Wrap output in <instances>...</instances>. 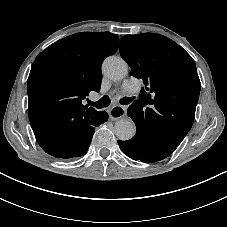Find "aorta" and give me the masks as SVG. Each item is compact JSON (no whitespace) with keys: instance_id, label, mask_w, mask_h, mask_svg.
<instances>
[{"instance_id":"1","label":"aorta","mask_w":227,"mask_h":227,"mask_svg":"<svg viewBox=\"0 0 227 227\" xmlns=\"http://www.w3.org/2000/svg\"><path fill=\"white\" fill-rule=\"evenodd\" d=\"M103 74L111 80H122L128 74V65L120 57L110 56L103 62ZM114 132L123 141L133 138L136 126L132 120L121 119L115 123Z\"/></svg>"}]
</instances>
